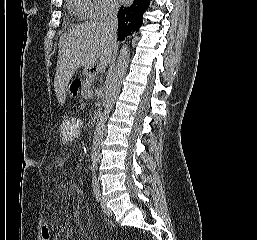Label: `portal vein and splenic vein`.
Segmentation results:
<instances>
[{
    "label": "portal vein and splenic vein",
    "mask_w": 257,
    "mask_h": 240,
    "mask_svg": "<svg viewBox=\"0 0 257 240\" xmlns=\"http://www.w3.org/2000/svg\"><path fill=\"white\" fill-rule=\"evenodd\" d=\"M93 95V92L91 90L88 91V97H91Z\"/></svg>",
    "instance_id": "1"
}]
</instances>
